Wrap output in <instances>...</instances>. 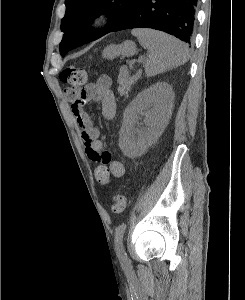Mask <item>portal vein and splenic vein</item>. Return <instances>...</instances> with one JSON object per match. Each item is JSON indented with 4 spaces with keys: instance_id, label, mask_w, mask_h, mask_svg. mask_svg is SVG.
Here are the masks:
<instances>
[{
    "instance_id": "portal-vein-and-splenic-vein-1",
    "label": "portal vein and splenic vein",
    "mask_w": 245,
    "mask_h": 300,
    "mask_svg": "<svg viewBox=\"0 0 245 300\" xmlns=\"http://www.w3.org/2000/svg\"><path fill=\"white\" fill-rule=\"evenodd\" d=\"M138 61H139V62H142V59H139ZM134 62H135V61H133V63H134Z\"/></svg>"
}]
</instances>
